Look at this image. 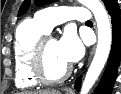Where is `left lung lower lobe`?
<instances>
[{
    "label": "left lung lower lobe",
    "instance_id": "0a47b994",
    "mask_svg": "<svg viewBox=\"0 0 121 94\" xmlns=\"http://www.w3.org/2000/svg\"><path fill=\"white\" fill-rule=\"evenodd\" d=\"M112 23V46L109 55L107 67L101 78V81L95 91V94H111V90L117 75V68L121 59V17L118 3L108 10ZM81 76L75 82V89L79 91Z\"/></svg>",
    "mask_w": 121,
    "mask_h": 94
}]
</instances>
